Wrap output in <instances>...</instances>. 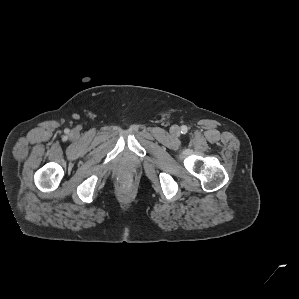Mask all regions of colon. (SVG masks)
I'll use <instances>...</instances> for the list:
<instances>
[{
  "mask_svg": "<svg viewBox=\"0 0 299 299\" xmlns=\"http://www.w3.org/2000/svg\"><path fill=\"white\" fill-rule=\"evenodd\" d=\"M123 178L125 179V180H130L131 179V173L130 172H128V171H126V172H124V174H123Z\"/></svg>",
  "mask_w": 299,
  "mask_h": 299,
  "instance_id": "colon-1",
  "label": "colon"
}]
</instances>
